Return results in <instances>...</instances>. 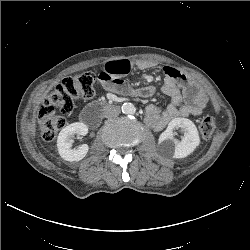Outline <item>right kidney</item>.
<instances>
[{
    "mask_svg": "<svg viewBox=\"0 0 250 250\" xmlns=\"http://www.w3.org/2000/svg\"><path fill=\"white\" fill-rule=\"evenodd\" d=\"M88 133V127L82 122L72 123L63 128L57 138V147L61 158L66 161H80L88 153L89 147L83 144L78 148L72 149L74 135L85 136Z\"/></svg>",
    "mask_w": 250,
    "mask_h": 250,
    "instance_id": "right-kidney-1",
    "label": "right kidney"
}]
</instances>
